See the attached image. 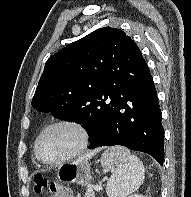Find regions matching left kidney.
Wrapping results in <instances>:
<instances>
[{
  "label": "left kidney",
  "instance_id": "5707ae66",
  "mask_svg": "<svg viewBox=\"0 0 191 197\" xmlns=\"http://www.w3.org/2000/svg\"><path fill=\"white\" fill-rule=\"evenodd\" d=\"M129 197H146V196H144L142 194H132Z\"/></svg>",
  "mask_w": 191,
  "mask_h": 197
}]
</instances>
